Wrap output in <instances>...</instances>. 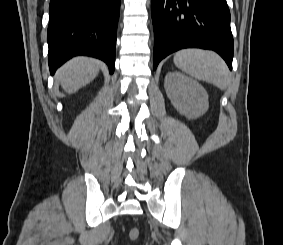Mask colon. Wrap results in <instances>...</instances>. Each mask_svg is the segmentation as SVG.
Listing matches in <instances>:
<instances>
[{"label": "colon", "mask_w": 283, "mask_h": 245, "mask_svg": "<svg viewBox=\"0 0 283 245\" xmlns=\"http://www.w3.org/2000/svg\"><path fill=\"white\" fill-rule=\"evenodd\" d=\"M139 229L138 228H132L130 231H129V238L131 240H136L138 237H139Z\"/></svg>", "instance_id": "5ec220e1"}]
</instances>
